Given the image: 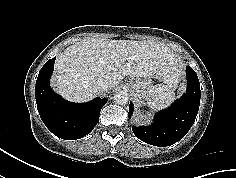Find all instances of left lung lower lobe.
I'll list each match as a JSON object with an SVG mask.
<instances>
[{
  "mask_svg": "<svg viewBox=\"0 0 236 178\" xmlns=\"http://www.w3.org/2000/svg\"><path fill=\"white\" fill-rule=\"evenodd\" d=\"M187 91L167 109L158 112L151 126H132L134 134L142 141L155 146H169L182 139L192 127L200 105V83L196 72L186 68ZM133 112L130 103L129 117Z\"/></svg>",
  "mask_w": 236,
  "mask_h": 178,
  "instance_id": "left-lung-lower-lobe-1",
  "label": "left lung lower lobe"
}]
</instances>
